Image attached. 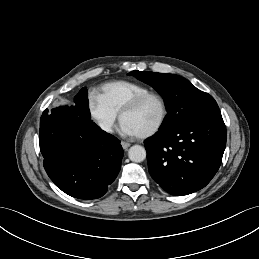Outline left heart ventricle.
Listing matches in <instances>:
<instances>
[{
    "mask_svg": "<svg viewBox=\"0 0 259 259\" xmlns=\"http://www.w3.org/2000/svg\"><path fill=\"white\" fill-rule=\"evenodd\" d=\"M162 107L158 100L148 99L135 111L126 114L122 121L130 123L139 134L152 129L160 120Z\"/></svg>",
    "mask_w": 259,
    "mask_h": 259,
    "instance_id": "left-heart-ventricle-1",
    "label": "left heart ventricle"
}]
</instances>
